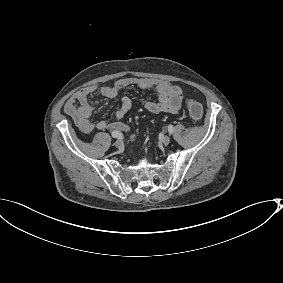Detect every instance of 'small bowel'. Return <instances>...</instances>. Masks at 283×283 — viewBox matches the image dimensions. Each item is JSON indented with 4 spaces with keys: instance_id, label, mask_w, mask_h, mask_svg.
Returning <instances> with one entry per match:
<instances>
[{
    "instance_id": "c3829d8e",
    "label": "small bowel",
    "mask_w": 283,
    "mask_h": 283,
    "mask_svg": "<svg viewBox=\"0 0 283 283\" xmlns=\"http://www.w3.org/2000/svg\"><path fill=\"white\" fill-rule=\"evenodd\" d=\"M132 86L141 89H152L157 92V101H143L146 110L154 114L178 113L185 98L184 91L172 82L153 78L126 77L117 80L110 86L98 87L97 85H90L78 90L67 101L64 111L85 135L91 134L95 129L129 133V126L122 121L123 117L132 107V100L129 97L124 96L121 98L120 107L115 112L112 120H100L96 123L90 120L94 107L90 103L89 97L93 94H98L107 98H115L125 89Z\"/></svg>"
}]
</instances>
